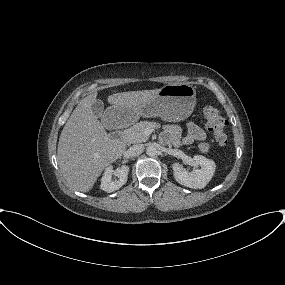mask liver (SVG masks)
Segmentation results:
<instances>
[{
    "mask_svg": "<svg viewBox=\"0 0 285 285\" xmlns=\"http://www.w3.org/2000/svg\"><path fill=\"white\" fill-rule=\"evenodd\" d=\"M160 89L121 92L110 95L108 103L120 107H136L154 98ZM97 92L81 99L67 120L58 142L57 160L68 184L75 190L88 192L105 167L125 152L123 141L110 137L93 114Z\"/></svg>",
    "mask_w": 285,
    "mask_h": 285,
    "instance_id": "obj_1",
    "label": "liver"
}]
</instances>
